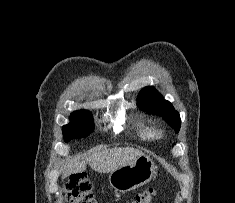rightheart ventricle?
<instances>
[{
	"label": "right heart ventricle",
	"instance_id": "e07e8e85",
	"mask_svg": "<svg viewBox=\"0 0 235 203\" xmlns=\"http://www.w3.org/2000/svg\"><path fill=\"white\" fill-rule=\"evenodd\" d=\"M138 134L141 138L145 140H151L158 138L160 132L152 126H149L147 124H140L138 128Z\"/></svg>",
	"mask_w": 235,
	"mask_h": 203
}]
</instances>
